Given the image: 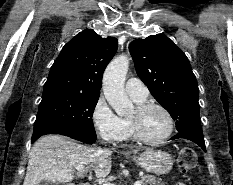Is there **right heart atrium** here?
Here are the masks:
<instances>
[{
	"instance_id": "right-heart-atrium-1",
	"label": "right heart atrium",
	"mask_w": 233,
	"mask_h": 185,
	"mask_svg": "<svg viewBox=\"0 0 233 185\" xmlns=\"http://www.w3.org/2000/svg\"><path fill=\"white\" fill-rule=\"evenodd\" d=\"M91 120L96 134L103 141L116 143L124 139L126 133L125 121L112 110L103 96L96 100L92 109Z\"/></svg>"
}]
</instances>
